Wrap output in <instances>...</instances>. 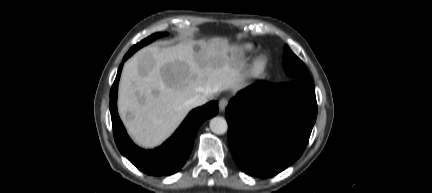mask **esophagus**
<instances>
[{
	"label": "esophagus",
	"instance_id": "34e87169",
	"mask_svg": "<svg viewBox=\"0 0 432 193\" xmlns=\"http://www.w3.org/2000/svg\"><path fill=\"white\" fill-rule=\"evenodd\" d=\"M227 105H228V99L227 98H221L220 101H219V109H220V111L223 112L225 110V108L227 107Z\"/></svg>",
	"mask_w": 432,
	"mask_h": 193
}]
</instances>
